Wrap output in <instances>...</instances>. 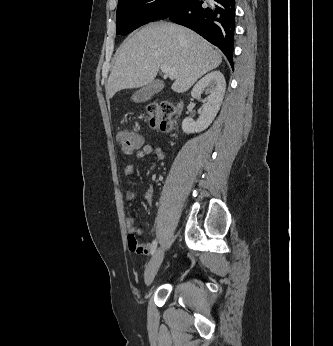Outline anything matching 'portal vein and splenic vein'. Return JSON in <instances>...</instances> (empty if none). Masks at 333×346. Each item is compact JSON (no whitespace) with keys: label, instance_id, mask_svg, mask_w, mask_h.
I'll list each match as a JSON object with an SVG mask.
<instances>
[{"label":"portal vein and splenic vein","instance_id":"1","mask_svg":"<svg viewBox=\"0 0 333 346\" xmlns=\"http://www.w3.org/2000/svg\"><path fill=\"white\" fill-rule=\"evenodd\" d=\"M160 69L164 73V75L169 77L171 80L176 79L177 73L173 68L167 65H161Z\"/></svg>","mask_w":333,"mask_h":346}]
</instances>
